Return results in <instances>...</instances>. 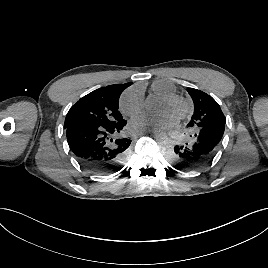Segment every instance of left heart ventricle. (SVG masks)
I'll list each match as a JSON object with an SVG mask.
<instances>
[{"label": "left heart ventricle", "mask_w": 268, "mask_h": 268, "mask_svg": "<svg viewBox=\"0 0 268 268\" xmlns=\"http://www.w3.org/2000/svg\"><path fill=\"white\" fill-rule=\"evenodd\" d=\"M158 112H170L174 115H178V112H179V106L178 105H175V104H169L165 101H161L158 105Z\"/></svg>", "instance_id": "obj_1"}]
</instances>
